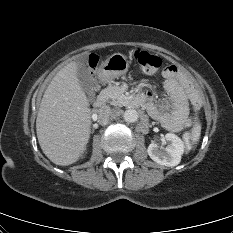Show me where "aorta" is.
I'll return each instance as SVG.
<instances>
[{"mask_svg":"<svg viewBox=\"0 0 233 233\" xmlns=\"http://www.w3.org/2000/svg\"><path fill=\"white\" fill-rule=\"evenodd\" d=\"M123 118L126 122L134 123L138 119V112L133 109H128L123 113Z\"/></svg>","mask_w":233,"mask_h":233,"instance_id":"obj_1","label":"aorta"}]
</instances>
